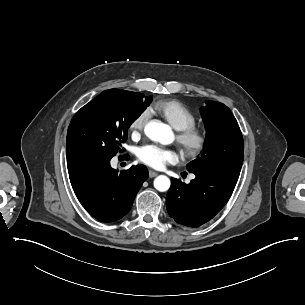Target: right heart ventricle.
I'll return each instance as SVG.
<instances>
[{
    "instance_id": "e07e8e85",
    "label": "right heart ventricle",
    "mask_w": 305,
    "mask_h": 305,
    "mask_svg": "<svg viewBox=\"0 0 305 305\" xmlns=\"http://www.w3.org/2000/svg\"><path fill=\"white\" fill-rule=\"evenodd\" d=\"M151 111L164 117L176 130H183L197 124V117L176 100H159L152 104Z\"/></svg>"
}]
</instances>
